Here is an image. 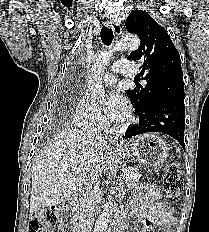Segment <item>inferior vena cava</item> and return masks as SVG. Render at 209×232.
<instances>
[{
    "label": "inferior vena cava",
    "mask_w": 209,
    "mask_h": 232,
    "mask_svg": "<svg viewBox=\"0 0 209 232\" xmlns=\"http://www.w3.org/2000/svg\"><path fill=\"white\" fill-rule=\"evenodd\" d=\"M100 175L96 173L86 181L80 198V214L78 232H91L94 225V212L99 197Z\"/></svg>",
    "instance_id": "obj_1"
}]
</instances>
